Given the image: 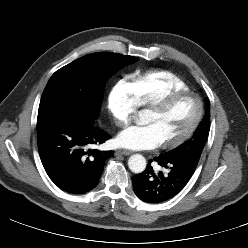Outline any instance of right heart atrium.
<instances>
[{
	"label": "right heart atrium",
	"mask_w": 248,
	"mask_h": 248,
	"mask_svg": "<svg viewBox=\"0 0 248 248\" xmlns=\"http://www.w3.org/2000/svg\"><path fill=\"white\" fill-rule=\"evenodd\" d=\"M107 107L115 124L126 127L132 122L139 106L128 84L118 82L108 93Z\"/></svg>",
	"instance_id": "right-heart-atrium-1"
}]
</instances>
